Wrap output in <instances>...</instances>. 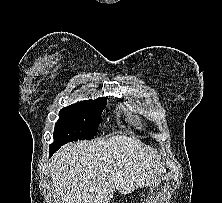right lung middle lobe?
Wrapping results in <instances>:
<instances>
[{
    "label": "right lung middle lobe",
    "mask_w": 222,
    "mask_h": 203,
    "mask_svg": "<svg viewBox=\"0 0 222 203\" xmlns=\"http://www.w3.org/2000/svg\"><path fill=\"white\" fill-rule=\"evenodd\" d=\"M106 102L107 98L103 97L77 102L61 109L51 145L61 147L71 141L93 139Z\"/></svg>",
    "instance_id": "1"
}]
</instances>
